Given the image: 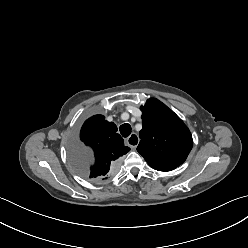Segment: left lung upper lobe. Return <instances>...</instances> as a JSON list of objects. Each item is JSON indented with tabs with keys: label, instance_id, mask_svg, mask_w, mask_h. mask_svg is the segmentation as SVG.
Masks as SVG:
<instances>
[{
	"label": "left lung upper lobe",
	"instance_id": "1",
	"mask_svg": "<svg viewBox=\"0 0 248 248\" xmlns=\"http://www.w3.org/2000/svg\"><path fill=\"white\" fill-rule=\"evenodd\" d=\"M142 130L137 151L158 171L181 165L192 148V135L183 121L157 99L141 106Z\"/></svg>",
	"mask_w": 248,
	"mask_h": 248
}]
</instances>
